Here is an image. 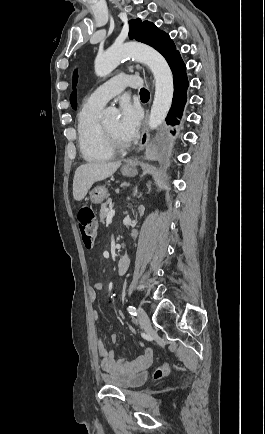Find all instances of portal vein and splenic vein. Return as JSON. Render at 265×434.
I'll return each instance as SVG.
<instances>
[{
    "label": "portal vein and splenic vein",
    "instance_id": "18ae733b",
    "mask_svg": "<svg viewBox=\"0 0 265 434\" xmlns=\"http://www.w3.org/2000/svg\"><path fill=\"white\" fill-rule=\"evenodd\" d=\"M113 216H115V210H110L106 220L107 224H111Z\"/></svg>",
    "mask_w": 265,
    "mask_h": 434
}]
</instances>
